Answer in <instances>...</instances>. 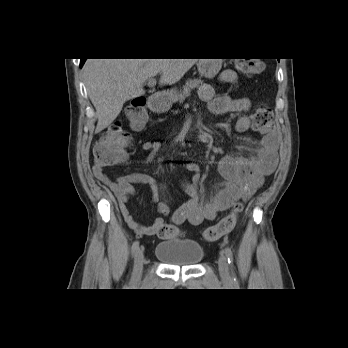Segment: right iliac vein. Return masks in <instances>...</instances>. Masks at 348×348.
Listing matches in <instances>:
<instances>
[{
  "label": "right iliac vein",
  "mask_w": 348,
  "mask_h": 348,
  "mask_svg": "<svg viewBox=\"0 0 348 348\" xmlns=\"http://www.w3.org/2000/svg\"><path fill=\"white\" fill-rule=\"evenodd\" d=\"M143 260H144L143 250L139 249L135 255L134 267H133V273H132V279L135 282L139 281L141 278L142 270H143Z\"/></svg>",
  "instance_id": "obj_1"
}]
</instances>
